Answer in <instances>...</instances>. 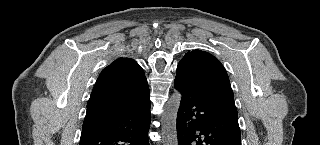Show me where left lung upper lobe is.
<instances>
[{
	"instance_id": "left-lung-upper-lobe-1",
	"label": "left lung upper lobe",
	"mask_w": 320,
	"mask_h": 145,
	"mask_svg": "<svg viewBox=\"0 0 320 145\" xmlns=\"http://www.w3.org/2000/svg\"><path fill=\"white\" fill-rule=\"evenodd\" d=\"M181 62L190 64L200 70L208 72L226 84V93L222 95L221 104L223 108L234 117L238 118L237 109L234 103L233 91L229 82V77L223 65L218 59L208 52L201 50L188 51Z\"/></svg>"
}]
</instances>
